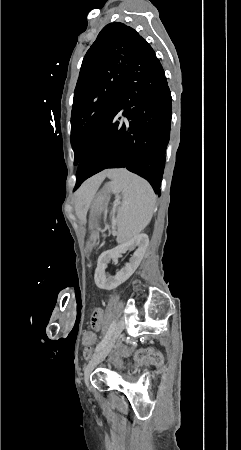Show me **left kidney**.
Returning a JSON list of instances; mask_svg holds the SVG:
<instances>
[{
	"label": "left kidney",
	"instance_id": "obj_1",
	"mask_svg": "<svg viewBox=\"0 0 241 450\" xmlns=\"http://www.w3.org/2000/svg\"><path fill=\"white\" fill-rule=\"evenodd\" d=\"M149 238L147 234H138V236H134L132 240L129 242H125V244H121V246H117L114 250H107V252H103L101 256L98 258L97 268L95 270V284L101 290H114L123 282H126L132 274H134L135 270H137L141 260H143V256L148 248ZM132 258H130L128 264H125V268H122L120 272H117L116 276H111V278H107L105 274V270L107 268V264H109L110 260H118L121 258V254H125L127 250H135Z\"/></svg>",
	"mask_w": 241,
	"mask_h": 450
}]
</instances>
